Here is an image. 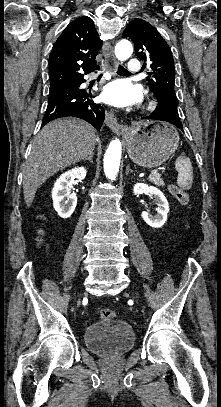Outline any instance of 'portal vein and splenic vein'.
<instances>
[{"instance_id": "18ae733b", "label": "portal vein and splenic vein", "mask_w": 221, "mask_h": 407, "mask_svg": "<svg viewBox=\"0 0 221 407\" xmlns=\"http://www.w3.org/2000/svg\"><path fill=\"white\" fill-rule=\"evenodd\" d=\"M158 172V169L152 170L151 174H156Z\"/></svg>"}]
</instances>
